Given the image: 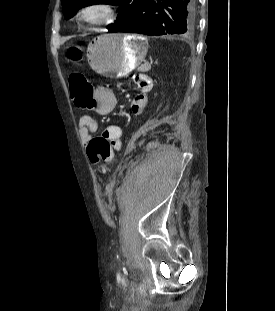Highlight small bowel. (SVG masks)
<instances>
[{"mask_svg":"<svg viewBox=\"0 0 275 311\" xmlns=\"http://www.w3.org/2000/svg\"><path fill=\"white\" fill-rule=\"evenodd\" d=\"M137 86L134 92V100L130 107L131 112L140 114L148 107L145 101V93H153L156 86L155 80H148V73H137ZM139 99H144L140 101ZM117 106V99L113 92L106 87H98L92 105H85V112H95L100 115L111 113ZM97 122L89 115H83L79 120V134L84 142H88L93 134L98 131ZM102 134L113 141V147L120 149L122 144V129L115 124H109L102 130Z\"/></svg>","mask_w":275,"mask_h":311,"instance_id":"small-bowel-1","label":"small bowel"}]
</instances>
